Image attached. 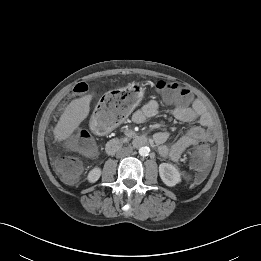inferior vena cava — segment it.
I'll use <instances>...</instances> for the list:
<instances>
[{
	"mask_svg": "<svg viewBox=\"0 0 261 261\" xmlns=\"http://www.w3.org/2000/svg\"><path fill=\"white\" fill-rule=\"evenodd\" d=\"M132 152H133V148H132L131 146H129V147H123V148H121V149L117 152L116 156H117L118 158H122V157H125V156L130 155Z\"/></svg>",
	"mask_w": 261,
	"mask_h": 261,
	"instance_id": "1",
	"label": "inferior vena cava"
}]
</instances>
